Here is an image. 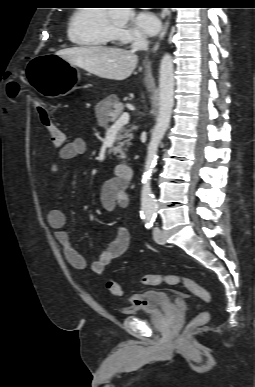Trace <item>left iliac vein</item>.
<instances>
[{
    "label": "left iliac vein",
    "instance_id": "left-iliac-vein-1",
    "mask_svg": "<svg viewBox=\"0 0 255 387\" xmlns=\"http://www.w3.org/2000/svg\"><path fill=\"white\" fill-rule=\"evenodd\" d=\"M153 238L158 244H165L166 242L164 234L158 227L153 229Z\"/></svg>",
    "mask_w": 255,
    "mask_h": 387
}]
</instances>
